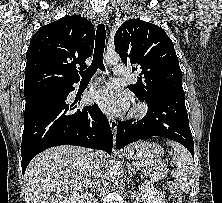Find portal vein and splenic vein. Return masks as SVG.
Instances as JSON below:
<instances>
[{"label": "portal vein and splenic vein", "instance_id": "portal-vein-and-splenic-vein-1", "mask_svg": "<svg viewBox=\"0 0 222 203\" xmlns=\"http://www.w3.org/2000/svg\"><path fill=\"white\" fill-rule=\"evenodd\" d=\"M143 164H144V163H137L136 166H137V167H140V166H142Z\"/></svg>", "mask_w": 222, "mask_h": 203}]
</instances>
